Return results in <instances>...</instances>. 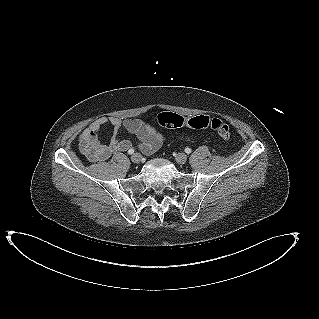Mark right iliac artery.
<instances>
[{
    "label": "right iliac artery",
    "instance_id": "82829eb1",
    "mask_svg": "<svg viewBox=\"0 0 319 319\" xmlns=\"http://www.w3.org/2000/svg\"><path fill=\"white\" fill-rule=\"evenodd\" d=\"M134 153V149H130L129 151H128V154H133Z\"/></svg>",
    "mask_w": 319,
    "mask_h": 319
}]
</instances>
